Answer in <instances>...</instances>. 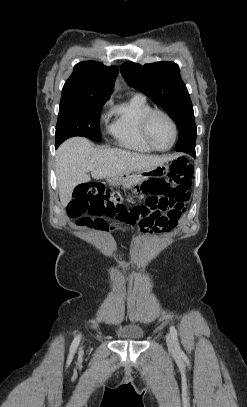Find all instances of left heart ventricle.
<instances>
[{
    "mask_svg": "<svg viewBox=\"0 0 247 407\" xmlns=\"http://www.w3.org/2000/svg\"><path fill=\"white\" fill-rule=\"evenodd\" d=\"M149 135L157 147L167 148L173 140L172 125L165 117L155 115L149 124Z\"/></svg>",
    "mask_w": 247,
    "mask_h": 407,
    "instance_id": "1",
    "label": "left heart ventricle"
}]
</instances>
